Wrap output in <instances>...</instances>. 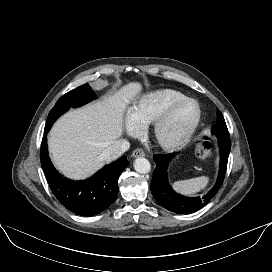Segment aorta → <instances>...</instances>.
<instances>
[{
    "mask_svg": "<svg viewBox=\"0 0 272 272\" xmlns=\"http://www.w3.org/2000/svg\"><path fill=\"white\" fill-rule=\"evenodd\" d=\"M134 169L141 174L149 173L151 170L150 162L143 157H139L134 161Z\"/></svg>",
    "mask_w": 272,
    "mask_h": 272,
    "instance_id": "aorta-1",
    "label": "aorta"
}]
</instances>
